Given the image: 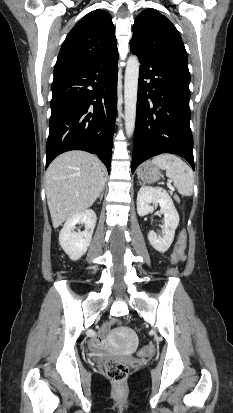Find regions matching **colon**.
Here are the masks:
<instances>
[{
    "label": "colon",
    "mask_w": 233,
    "mask_h": 413,
    "mask_svg": "<svg viewBox=\"0 0 233 413\" xmlns=\"http://www.w3.org/2000/svg\"><path fill=\"white\" fill-rule=\"evenodd\" d=\"M185 244H186V231L182 230L179 235V239L175 246L174 252L171 256L172 264H175L180 260L181 253L185 249ZM153 352H154L153 345H147L140 350V354L142 356H150L153 354ZM105 370H106L107 376L112 381L119 383V382L124 381L126 377L128 376L129 366L119 361L110 360L106 363Z\"/></svg>",
    "instance_id": "5ec220e1"
}]
</instances>
